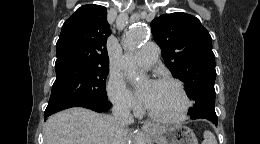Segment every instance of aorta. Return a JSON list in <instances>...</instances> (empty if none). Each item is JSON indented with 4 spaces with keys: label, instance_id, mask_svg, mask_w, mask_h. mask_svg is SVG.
Returning <instances> with one entry per match:
<instances>
[{
    "label": "aorta",
    "instance_id": "1",
    "mask_svg": "<svg viewBox=\"0 0 260 144\" xmlns=\"http://www.w3.org/2000/svg\"><path fill=\"white\" fill-rule=\"evenodd\" d=\"M147 34L148 32L146 28L143 25L137 24L128 29L122 40V44L125 50V54L122 58L123 70L128 77L139 81L142 74L138 72L137 66L133 60V53L138 46L146 41ZM137 144H146L142 139V136H139Z\"/></svg>",
    "mask_w": 260,
    "mask_h": 144
}]
</instances>
